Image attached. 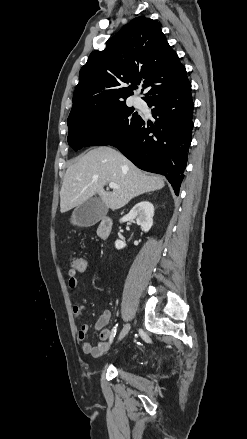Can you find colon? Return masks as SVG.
<instances>
[{
    "label": "colon",
    "mask_w": 247,
    "mask_h": 439,
    "mask_svg": "<svg viewBox=\"0 0 247 439\" xmlns=\"http://www.w3.org/2000/svg\"><path fill=\"white\" fill-rule=\"evenodd\" d=\"M87 260L85 257H72L70 260L71 270L83 272L87 269Z\"/></svg>",
    "instance_id": "colon-1"
}]
</instances>
